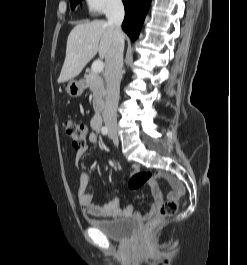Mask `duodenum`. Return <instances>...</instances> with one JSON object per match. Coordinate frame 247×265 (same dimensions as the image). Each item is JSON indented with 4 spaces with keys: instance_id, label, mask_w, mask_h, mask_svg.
<instances>
[{
    "instance_id": "duodenum-1",
    "label": "duodenum",
    "mask_w": 247,
    "mask_h": 265,
    "mask_svg": "<svg viewBox=\"0 0 247 265\" xmlns=\"http://www.w3.org/2000/svg\"><path fill=\"white\" fill-rule=\"evenodd\" d=\"M102 121H103V114L102 113L94 116V118L92 120V126H93L94 130L99 131L101 129Z\"/></svg>"
}]
</instances>
